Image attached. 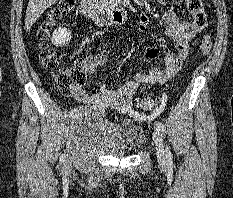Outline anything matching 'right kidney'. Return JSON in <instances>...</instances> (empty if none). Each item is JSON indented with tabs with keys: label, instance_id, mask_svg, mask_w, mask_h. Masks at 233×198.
I'll list each match as a JSON object with an SVG mask.
<instances>
[{
	"label": "right kidney",
	"instance_id": "1",
	"mask_svg": "<svg viewBox=\"0 0 233 198\" xmlns=\"http://www.w3.org/2000/svg\"><path fill=\"white\" fill-rule=\"evenodd\" d=\"M71 39V31L67 28L59 27L53 32L52 43L56 47H63L69 43Z\"/></svg>",
	"mask_w": 233,
	"mask_h": 198
}]
</instances>
